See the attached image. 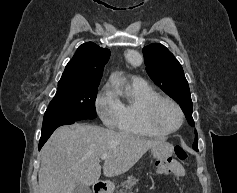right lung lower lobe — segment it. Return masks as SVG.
Masks as SVG:
<instances>
[{
	"label": "right lung lower lobe",
	"mask_w": 237,
	"mask_h": 193,
	"mask_svg": "<svg viewBox=\"0 0 237 193\" xmlns=\"http://www.w3.org/2000/svg\"><path fill=\"white\" fill-rule=\"evenodd\" d=\"M75 120L56 114H45L43 119L42 134L39 141V150L56 128L66 124H73Z\"/></svg>",
	"instance_id": "right-lung-lower-lobe-1"
}]
</instances>
